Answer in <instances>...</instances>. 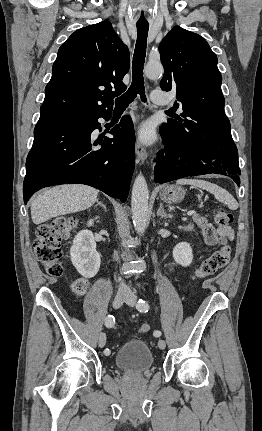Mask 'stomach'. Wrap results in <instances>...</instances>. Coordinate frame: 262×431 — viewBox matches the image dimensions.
<instances>
[{
  "label": "stomach",
  "mask_w": 262,
  "mask_h": 431,
  "mask_svg": "<svg viewBox=\"0 0 262 431\" xmlns=\"http://www.w3.org/2000/svg\"><path fill=\"white\" fill-rule=\"evenodd\" d=\"M161 199L167 203H177L183 200L185 190L176 185H166L160 193Z\"/></svg>",
  "instance_id": "obj_1"
}]
</instances>
